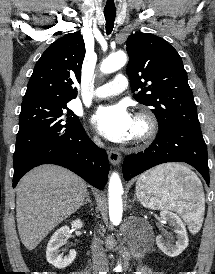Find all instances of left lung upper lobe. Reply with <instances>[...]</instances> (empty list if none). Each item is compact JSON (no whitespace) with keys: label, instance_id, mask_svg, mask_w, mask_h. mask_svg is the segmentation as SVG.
<instances>
[{"label":"left lung upper lobe","instance_id":"1","mask_svg":"<svg viewBox=\"0 0 215 274\" xmlns=\"http://www.w3.org/2000/svg\"><path fill=\"white\" fill-rule=\"evenodd\" d=\"M127 74L134 98L154 107L159 128L184 125L200 128L187 73L178 52L153 34H132L126 41Z\"/></svg>","mask_w":215,"mask_h":274}]
</instances>
